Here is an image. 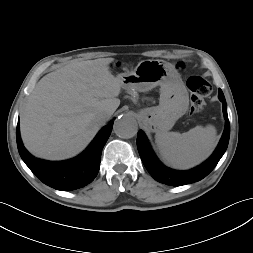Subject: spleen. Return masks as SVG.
Here are the masks:
<instances>
[{
  "mask_svg": "<svg viewBox=\"0 0 253 253\" xmlns=\"http://www.w3.org/2000/svg\"><path fill=\"white\" fill-rule=\"evenodd\" d=\"M160 155L170 166L189 169L208 158L217 144L212 125L196 126L188 132H159L155 136Z\"/></svg>",
  "mask_w": 253,
  "mask_h": 253,
  "instance_id": "obj_1",
  "label": "spleen"
}]
</instances>
